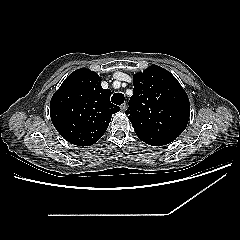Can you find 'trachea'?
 Returning <instances> with one entry per match:
<instances>
[{
  "mask_svg": "<svg viewBox=\"0 0 240 240\" xmlns=\"http://www.w3.org/2000/svg\"><path fill=\"white\" fill-rule=\"evenodd\" d=\"M124 100H125V96L122 93H115L111 98V101L116 105L122 104Z\"/></svg>",
  "mask_w": 240,
  "mask_h": 240,
  "instance_id": "trachea-1",
  "label": "trachea"
}]
</instances>
